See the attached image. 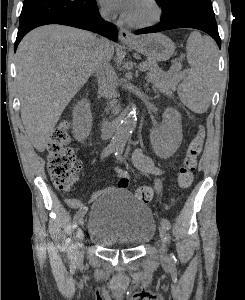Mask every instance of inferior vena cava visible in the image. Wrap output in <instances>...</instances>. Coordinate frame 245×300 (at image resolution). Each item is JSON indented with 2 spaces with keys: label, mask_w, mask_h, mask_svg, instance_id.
Listing matches in <instances>:
<instances>
[{
  "label": "inferior vena cava",
  "mask_w": 245,
  "mask_h": 300,
  "mask_svg": "<svg viewBox=\"0 0 245 300\" xmlns=\"http://www.w3.org/2000/svg\"><path fill=\"white\" fill-rule=\"evenodd\" d=\"M104 17L107 18L106 15H104ZM103 44L104 39L97 41L92 67L97 74L101 75L104 81L106 95L111 97L116 92V73L110 66L109 61L105 59Z\"/></svg>",
  "instance_id": "obj_1"
}]
</instances>
